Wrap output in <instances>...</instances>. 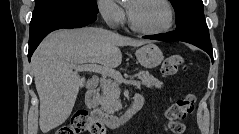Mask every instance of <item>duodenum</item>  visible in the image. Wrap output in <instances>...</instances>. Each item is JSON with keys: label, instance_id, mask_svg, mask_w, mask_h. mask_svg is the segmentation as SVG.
I'll list each match as a JSON object with an SVG mask.
<instances>
[{"label": "duodenum", "instance_id": "duodenum-1", "mask_svg": "<svg viewBox=\"0 0 239 134\" xmlns=\"http://www.w3.org/2000/svg\"><path fill=\"white\" fill-rule=\"evenodd\" d=\"M86 104L91 110V116L95 121L100 122L105 127L115 129L125 125L139 112L144 104V96L142 94H136L129 108L120 116H108L100 109L99 93L95 89H91L87 92Z\"/></svg>", "mask_w": 239, "mask_h": 134}]
</instances>
